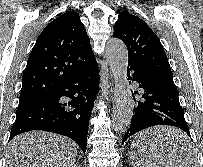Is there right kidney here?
Returning <instances> with one entry per match:
<instances>
[{
    "instance_id": "1",
    "label": "right kidney",
    "mask_w": 203,
    "mask_h": 167,
    "mask_svg": "<svg viewBox=\"0 0 203 167\" xmlns=\"http://www.w3.org/2000/svg\"><path fill=\"white\" fill-rule=\"evenodd\" d=\"M73 167H81V166H73Z\"/></svg>"
}]
</instances>
